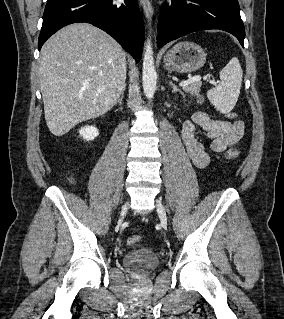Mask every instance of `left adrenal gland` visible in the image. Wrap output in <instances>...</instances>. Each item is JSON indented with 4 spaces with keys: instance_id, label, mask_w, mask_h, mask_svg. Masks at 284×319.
I'll list each match as a JSON object with an SVG mask.
<instances>
[{
    "instance_id": "1",
    "label": "left adrenal gland",
    "mask_w": 284,
    "mask_h": 319,
    "mask_svg": "<svg viewBox=\"0 0 284 319\" xmlns=\"http://www.w3.org/2000/svg\"><path fill=\"white\" fill-rule=\"evenodd\" d=\"M169 85L172 87L173 93L179 92L183 96V98H185L184 93L180 89L177 88V86L173 83V81H170Z\"/></svg>"
}]
</instances>
